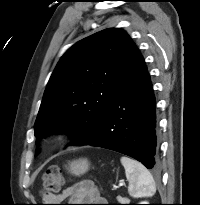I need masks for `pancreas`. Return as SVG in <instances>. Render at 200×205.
I'll return each instance as SVG.
<instances>
[{"mask_svg": "<svg viewBox=\"0 0 200 205\" xmlns=\"http://www.w3.org/2000/svg\"><path fill=\"white\" fill-rule=\"evenodd\" d=\"M117 200H118L119 202H122V201L127 202V201H128V199L122 198L121 196H118V197H117Z\"/></svg>", "mask_w": 200, "mask_h": 205, "instance_id": "obj_1", "label": "pancreas"}]
</instances>
